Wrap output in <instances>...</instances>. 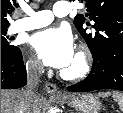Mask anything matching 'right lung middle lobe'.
<instances>
[{
    "label": "right lung middle lobe",
    "mask_w": 123,
    "mask_h": 113,
    "mask_svg": "<svg viewBox=\"0 0 123 113\" xmlns=\"http://www.w3.org/2000/svg\"><path fill=\"white\" fill-rule=\"evenodd\" d=\"M7 28H1V55L13 56L20 52L17 46L11 45L12 40L7 35Z\"/></svg>",
    "instance_id": "1"
}]
</instances>
